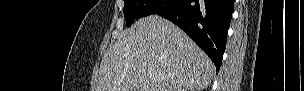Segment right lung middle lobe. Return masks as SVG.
<instances>
[{"instance_id": "right-lung-middle-lobe-1", "label": "right lung middle lobe", "mask_w": 304, "mask_h": 91, "mask_svg": "<svg viewBox=\"0 0 304 91\" xmlns=\"http://www.w3.org/2000/svg\"><path fill=\"white\" fill-rule=\"evenodd\" d=\"M169 0H124V16L127 26H131L133 21L140 17H145L166 5Z\"/></svg>"}]
</instances>
